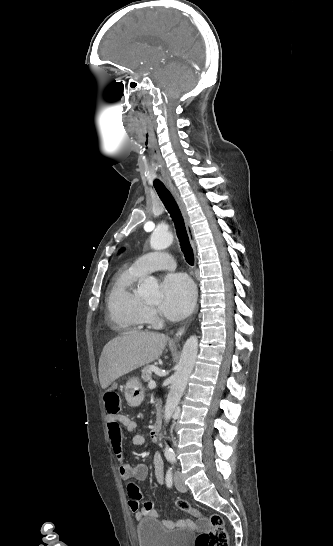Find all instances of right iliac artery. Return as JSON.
Wrapping results in <instances>:
<instances>
[{
	"label": "right iliac artery",
	"instance_id": "1",
	"mask_svg": "<svg viewBox=\"0 0 333 546\" xmlns=\"http://www.w3.org/2000/svg\"><path fill=\"white\" fill-rule=\"evenodd\" d=\"M166 484L167 487H172V468H169L167 475H166Z\"/></svg>",
	"mask_w": 333,
	"mask_h": 546
}]
</instances>
